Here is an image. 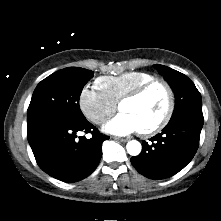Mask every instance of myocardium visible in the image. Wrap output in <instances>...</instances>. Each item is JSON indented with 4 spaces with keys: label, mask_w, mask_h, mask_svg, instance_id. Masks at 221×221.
Wrapping results in <instances>:
<instances>
[{
    "label": "myocardium",
    "mask_w": 221,
    "mask_h": 221,
    "mask_svg": "<svg viewBox=\"0 0 221 221\" xmlns=\"http://www.w3.org/2000/svg\"><path fill=\"white\" fill-rule=\"evenodd\" d=\"M155 86H161L164 89V91L166 92V96H167V104H166V109L162 118L157 123H155L154 125L148 128L140 129V133L145 136L153 135V134L160 132L167 126V124L170 122L172 118L174 107H175V96H174V92L170 84L163 79L154 78L140 85L139 87L135 88L131 92L127 93L126 95H124L118 103V108L120 110V107L123 103L127 101L136 100L142 97L151 88Z\"/></svg>",
    "instance_id": "obj_1"
}]
</instances>
